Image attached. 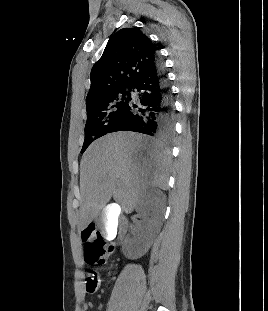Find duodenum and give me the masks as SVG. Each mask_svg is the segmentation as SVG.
<instances>
[{"instance_id": "obj_1", "label": "duodenum", "mask_w": 268, "mask_h": 311, "mask_svg": "<svg viewBox=\"0 0 268 311\" xmlns=\"http://www.w3.org/2000/svg\"><path fill=\"white\" fill-rule=\"evenodd\" d=\"M124 229H125V226H124V224H120V226H119V230H120V232H123L124 231Z\"/></svg>"}]
</instances>
